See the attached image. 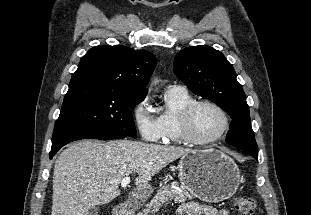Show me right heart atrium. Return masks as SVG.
Here are the masks:
<instances>
[{"mask_svg":"<svg viewBox=\"0 0 311 215\" xmlns=\"http://www.w3.org/2000/svg\"><path fill=\"white\" fill-rule=\"evenodd\" d=\"M132 118L136 129L145 141L159 142L164 138V129L149 104L147 97L141 98L132 108Z\"/></svg>","mask_w":311,"mask_h":215,"instance_id":"d8ad5b80","label":"right heart atrium"}]
</instances>
